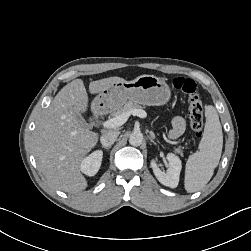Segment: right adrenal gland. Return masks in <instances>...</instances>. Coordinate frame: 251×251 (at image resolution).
<instances>
[{"label": "right adrenal gland", "mask_w": 251, "mask_h": 251, "mask_svg": "<svg viewBox=\"0 0 251 251\" xmlns=\"http://www.w3.org/2000/svg\"><path fill=\"white\" fill-rule=\"evenodd\" d=\"M102 148L109 150L111 147L102 146Z\"/></svg>", "instance_id": "obj_1"}]
</instances>
